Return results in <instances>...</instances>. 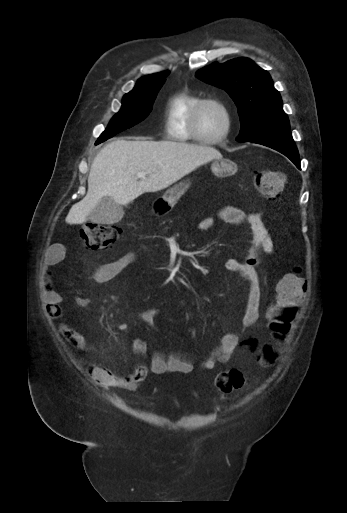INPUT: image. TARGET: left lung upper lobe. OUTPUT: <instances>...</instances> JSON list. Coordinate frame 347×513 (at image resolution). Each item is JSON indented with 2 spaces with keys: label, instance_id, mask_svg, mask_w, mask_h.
Returning a JSON list of instances; mask_svg holds the SVG:
<instances>
[{
  "label": "left lung upper lobe",
  "instance_id": "obj_1",
  "mask_svg": "<svg viewBox=\"0 0 347 513\" xmlns=\"http://www.w3.org/2000/svg\"><path fill=\"white\" fill-rule=\"evenodd\" d=\"M196 76L224 89L238 107L241 130L238 142H249L271 133L290 131L279 92L267 71L248 58L213 63Z\"/></svg>",
  "mask_w": 347,
  "mask_h": 513
}]
</instances>
